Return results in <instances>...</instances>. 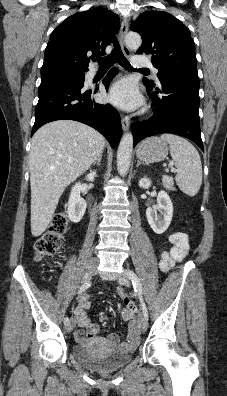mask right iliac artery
Instances as JSON below:
<instances>
[{"instance_id":"right-iliac-artery-1","label":"right iliac artery","mask_w":227,"mask_h":396,"mask_svg":"<svg viewBox=\"0 0 227 396\" xmlns=\"http://www.w3.org/2000/svg\"><path fill=\"white\" fill-rule=\"evenodd\" d=\"M90 285H91L90 282L84 283V284L79 288V290H78L77 293L80 294V293L84 292L85 290H87V289L90 287ZM68 323H69V318H68V317H65V318H64V324L67 325Z\"/></svg>"}]
</instances>
